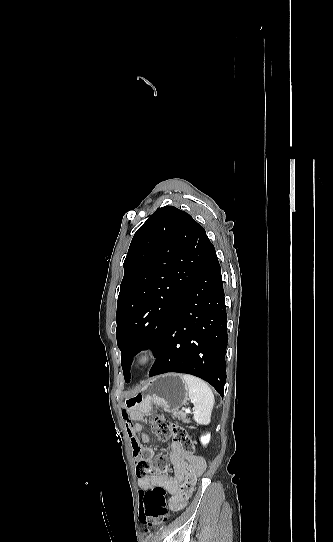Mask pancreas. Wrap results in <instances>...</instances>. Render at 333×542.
Segmentation results:
<instances>
[{
    "label": "pancreas",
    "instance_id": "obj_1",
    "mask_svg": "<svg viewBox=\"0 0 333 542\" xmlns=\"http://www.w3.org/2000/svg\"><path fill=\"white\" fill-rule=\"evenodd\" d=\"M171 418H178V420H181V422H184V424H189L190 420H187V414L186 412H175V410H173L172 414H171Z\"/></svg>",
    "mask_w": 333,
    "mask_h": 542
}]
</instances>
